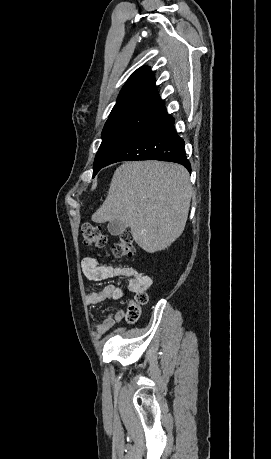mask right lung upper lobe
<instances>
[{
    "instance_id": "obj_1",
    "label": "right lung upper lobe",
    "mask_w": 271,
    "mask_h": 459,
    "mask_svg": "<svg viewBox=\"0 0 271 459\" xmlns=\"http://www.w3.org/2000/svg\"><path fill=\"white\" fill-rule=\"evenodd\" d=\"M137 110L157 114L166 111L149 67H141L130 76L110 114Z\"/></svg>"
}]
</instances>
